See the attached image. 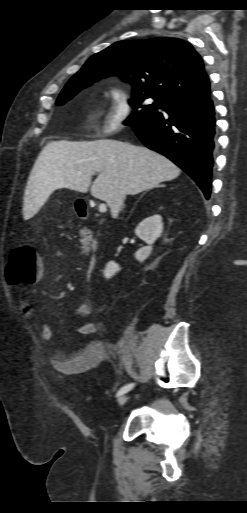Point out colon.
<instances>
[{
    "label": "colon",
    "instance_id": "colon-1",
    "mask_svg": "<svg viewBox=\"0 0 247 513\" xmlns=\"http://www.w3.org/2000/svg\"><path fill=\"white\" fill-rule=\"evenodd\" d=\"M43 273V266L33 246L20 244L10 253L5 276L9 284L30 285Z\"/></svg>",
    "mask_w": 247,
    "mask_h": 513
}]
</instances>
